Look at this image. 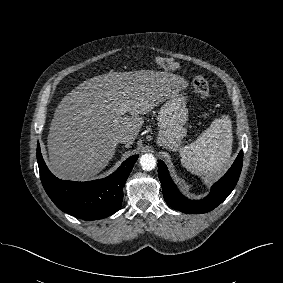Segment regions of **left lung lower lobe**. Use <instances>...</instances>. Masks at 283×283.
<instances>
[{
    "label": "left lung lower lobe",
    "mask_w": 283,
    "mask_h": 283,
    "mask_svg": "<svg viewBox=\"0 0 283 283\" xmlns=\"http://www.w3.org/2000/svg\"><path fill=\"white\" fill-rule=\"evenodd\" d=\"M243 163V151H240L228 172L216 182L210 194L202 200H189L184 197L173 183L166 165L158 161V176L162 184L165 201L173 209L183 213H207L220 205L232 192L239 179Z\"/></svg>",
    "instance_id": "1"
}]
</instances>
